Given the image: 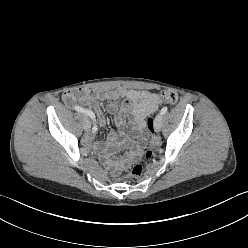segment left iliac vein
Here are the masks:
<instances>
[{
  "mask_svg": "<svg viewBox=\"0 0 248 248\" xmlns=\"http://www.w3.org/2000/svg\"><path fill=\"white\" fill-rule=\"evenodd\" d=\"M162 118H163V116H162L161 113L157 114L156 117H155V120H154V127H155V130H156V131H160V129H161Z\"/></svg>",
  "mask_w": 248,
  "mask_h": 248,
  "instance_id": "obj_1",
  "label": "left iliac vein"
}]
</instances>
